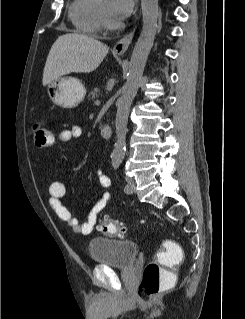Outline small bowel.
Returning <instances> with one entry per match:
<instances>
[{"mask_svg":"<svg viewBox=\"0 0 245 319\" xmlns=\"http://www.w3.org/2000/svg\"><path fill=\"white\" fill-rule=\"evenodd\" d=\"M82 136V128L79 125H72L59 132L60 142L66 143L79 139ZM100 186L103 189L101 197L96 201L88 213L87 219L81 222L74 218L70 210L61 202V198L66 194L67 185L62 181H53L49 186V204L56 212L57 216L67 223L76 234L89 236L94 230L99 214L107 207L112 199L110 188V178L103 170L97 171Z\"/></svg>","mask_w":245,"mask_h":319,"instance_id":"small-bowel-1","label":"small bowel"}]
</instances>
